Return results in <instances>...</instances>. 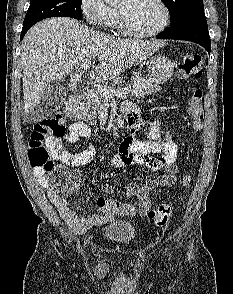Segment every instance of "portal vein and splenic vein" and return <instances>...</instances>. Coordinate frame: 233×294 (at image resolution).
Segmentation results:
<instances>
[{"label":"portal vein and splenic vein","mask_w":233,"mask_h":294,"mask_svg":"<svg viewBox=\"0 0 233 294\" xmlns=\"http://www.w3.org/2000/svg\"><path fill=\"white\" fill-rule=\"evenodd\" d=\"M91 66V61L86 59L81 63V69L83 71L87 70ZM91 84L97 89L98 92L102 93L106 98H112L113 96H122L127 95L131 92L129 88H121V89H112L100 83L97 80L91 79Z\"/></svg>","instance_id":"18ae733b"}]
</instances>
